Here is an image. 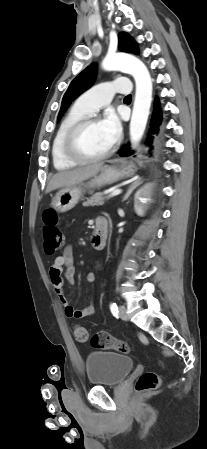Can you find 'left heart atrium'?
<instances>
[{
	"mask_svg": "<svg viewBox=\"0 0 207 449\" xmlns=\"http://www.w3.org/2000/svg\"><path fill=\"white\" fill-rule=\"evenodd\" d=\"M100 124L111 144H114L121 134V123L118 116L114 112H108Z\"/></svg>",
	"mask_w": 207,
	"mask_h": 449,
	"instance_id": "left-heart-atrium-1",
	"label": "left heart atrium"
}]
</instances>
